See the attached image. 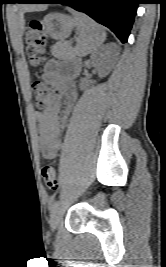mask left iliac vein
Listing matches in <instances>:
<instances>
[{
    "mask_svg": "<svg viewBox=\"0 0 166 267\" xmlns=\"http://www.w3.org/2000/svg\"><path fill=\"white\" fill-rule=\"evenodd\" d=\"M63 210L62 209H57L51 218V228L52 230H56V228L58 227L60 221L62 220L63 217Z\"/></svg>",
    "mask_w": 166,
    "mask_h": 267,
    "instance_id": "4c4485c4",
    "label": "left iliac vein"
}]
</instances>
